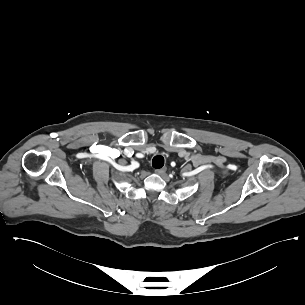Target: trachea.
I'll use <instances>...</instances> for the list:
<instances>
[{
  "label": "trachea",
  "mask_w": 305,
  "mask_h": 305,
  "mask_svg": "<svg viewBox=\"0 0 305 305\" xmlns=\"http://www.w3.org/2000/svg\"><path fill=\"white\" fill-rule=\"evenodd\" d=\"M152 166L155 169H160L164 166V158L161 155H157L152 159Z\"/></svg>",
  "instance_id": "obj_1"
}]
</instances>
